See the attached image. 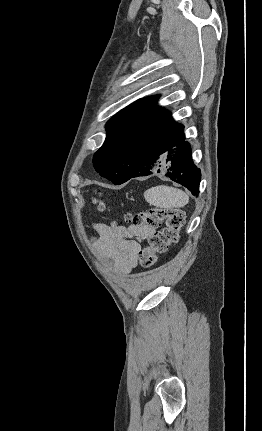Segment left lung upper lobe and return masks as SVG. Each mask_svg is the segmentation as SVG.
<instances>
[{"mask_svg":"<svg viewBox=\"0 0 262 431\" xmlns=\"http://www.w3.org/2000/svg\"><path fill=\"white\" fill-rule=\"evenodd\" d=\"M158 95L139 99L115 114L106 124L107 136L94 154L97 172L114 184L128 180L137 151L144 150L182 126L164 109L153 107Z\"/></svg>","mask_w":262,"mask_h":431,"instance_id":"5c2ea615","label":"left lung upper lobe"}]
</instances>
